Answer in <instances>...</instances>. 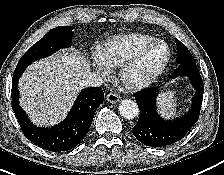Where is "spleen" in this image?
Returning a JSON list of instances; mask_svg holds the SVG:
<instances>
[{"label": "spleen", "instance_id": "obj_1", "mask_svg": "<svg viewBox=\"0 0 224 175\" xmlns=\"http://www.w3.org/2000/svg\"><path fill=\"white\" fill-rule=\"evenodd\" d=\"M174 96L175 93L173 91H166L159 94V96L157 97L159 112L166 118H170L175 115L177 102Z\"/></svg>", "mask_w": 224, "mask_h": 175}]
</instances>
